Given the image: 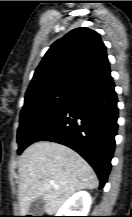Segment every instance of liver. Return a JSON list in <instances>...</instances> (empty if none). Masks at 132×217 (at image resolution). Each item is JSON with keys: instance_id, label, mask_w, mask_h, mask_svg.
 <instances>
[{"instance_id": "obj_1", "label": "liver", "mask_w": 132, "mask_h": 217, "mask_svg": "<svg viewBox=\"0 0 132 217\" xmlns=\"http://www.w3.org/2000/svg\"><path fill=\"white\" fill-rule=\"evenodd\" d=\"M18 171L21 216L28 214L36 198L44 200L47 214H54L74 193L95 189L99 183L92 167L78 153L55 142L30 145L20 157Z\"/></svg>"}]
</instances>
